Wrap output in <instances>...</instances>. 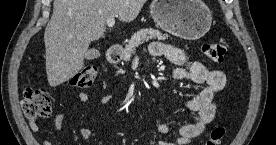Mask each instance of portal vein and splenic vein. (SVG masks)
<instances>
[{
	"instance_id": "obj_1",
	"label": "portal vein and splenic vein",
	"mask_w": 276,
	"mask_h": 145,
	"mask_svg": "<svg viewBox=\"0 0 276 145\" xmlns=\"http://www.w3.org/2000/svg\"><path fill=\"white\" fill-rule=\"evenodd\" d=\"M115 25V19L114 18H110L107 20V26L108 27H113Z\"/></svg>"
}]
</instances>
